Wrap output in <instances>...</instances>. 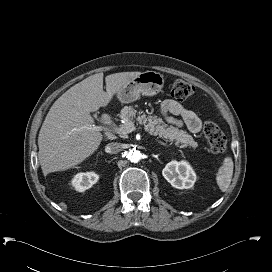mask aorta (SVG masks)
<instances>
[{
	"mask_svg": "<svg viewBox=\"0 0 272 272\" xmlns=\"http://www.w3.org/2000/svg\"><path fill=\"white\" fill-rule=\"evenodd\" d=\"M127 157L131 162L137 163L141 159V152L136 149H131L129 150Z\"/></svg>",
	"mask_w": 272,
	"mask_h": 272,
	"instance_id": "1",
	"label": "aorta"
}]
</instances>
